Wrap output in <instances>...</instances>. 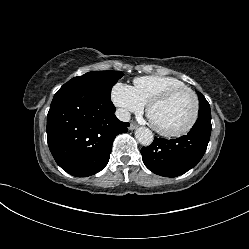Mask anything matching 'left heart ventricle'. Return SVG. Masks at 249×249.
I'll return each mask as SVG.
<instances>
[{
    "mask_svg": "<svg viewBox=\"0 0 249 249\" xmlns=\"http://www.w3.org/2000/svg\"><path fill=\"white\" fill-rule=\"evenodd\" d=\"M194 109V101L188 92H182L169 101L157 105L151 113L152 121L161 129L176 131L188 124Z\"/></svg>",
    "mask_w": 249,
    "mask_h": 249,
    "instance_id": "obj_1",
    "label": "left heart ventricle"
}]
</instances>
